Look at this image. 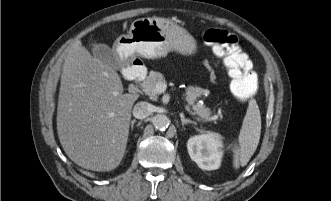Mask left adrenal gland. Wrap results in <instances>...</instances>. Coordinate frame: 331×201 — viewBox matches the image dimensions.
Instances as JSON below:
<instances>
[{
  "mask_svg": "<svg viewBox=\"0 0 331 201\" xmlns=\"http://www.w3.org/2000/svg\"><path fill=\"white\" fill-rule=\"evenodd\" d=\"M181 123H182V126L183 127H184V125H186L188 123L196 125V122L191 121L190 119L185 118L183 115L181 116Z\"/></svg>",
  "mask_w": 331,
  "mask_h": 201,
  "instance_id": "left-adrenal-gland-1",
  "label": "left adrenal gland"
}]
</instances>
